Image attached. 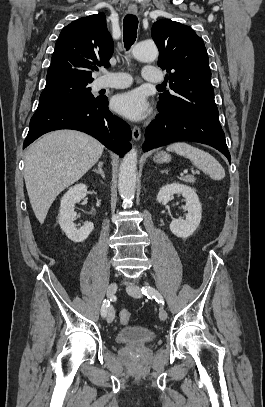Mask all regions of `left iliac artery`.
I'll use <instances>...</instances> for the list:
<instances>
[{
	"instance_id": "44dca946",
	"label": "left iliac artery",
	"mask_w": 265,
	"mask_h": 407,
	"mask_svg": "<svg viewBox=\"0 0 265 407\" xmlns=\"http://www.w3.org/2000/svg\"><path fill=\"white\" fill-rule=\"evenodd\" d=\"M142 294L146 295L148 298H154L159 304L164 305V299L162 295L153 287L145 286L141 289Z\"/></svg>"
}]
</instances>
